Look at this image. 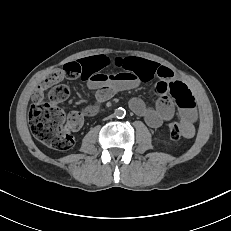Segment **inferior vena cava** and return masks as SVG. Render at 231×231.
<instances>
[{
  "label": "inferior vena cava",
  "mask_w": 231,
  "mask_h": 231,
  "mask_svg": "<svg viewBox=\"0 0 231 231\" xmlns=\"http://www.w3.org/2000/svg\"><path fill=\"white\" fill-rule=\"evenodd\" d=\"M109 118H112V115H111V116H109L107 119H109Z\"/></svg>",
  "instance_id": "602c4592"
}]
</instances>
